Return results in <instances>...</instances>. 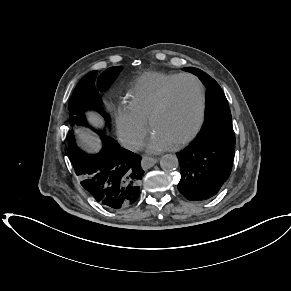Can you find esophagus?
Returning a JSON list of instances; mask_svg holds the SVG:
<instances>
[{
    "mask_svg": "<svg viewBox=\"0 0 291 291\" xmlns=\"http://www.w3.org/2000/svg\"><path fill=\"white\" fill-rule=\"evenodd\" d=\"M158 158H151V157H143L141 161V165L144 169H149L154 166L158 162Z\"/></svg>",
    "mask_w": 291,
    "mask_h": 291,
    "instance_id": "esophagus-1",
    "label": "esophagus"
}]
</instances>
